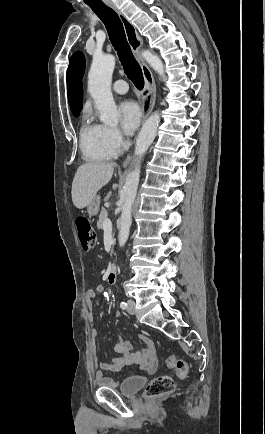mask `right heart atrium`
Here are the masks:
<instances>
[{"mask_svg": "<svg viewBox=\"0 0 265 434\" xmlns=\"http://www.w3.org/2000/svg\"><path fill=\"white\" fill-rule=\"evenodd\" d=\"M103 139L110 141V151L112 154H121L125 149L126 134L119 132L118 125H105Z\"/></svg>", "mask_w": 265, "mask_h": 434, "instance_id": "right-heart-atrium-1", "label": "right heart atrium"}]
</instances>
